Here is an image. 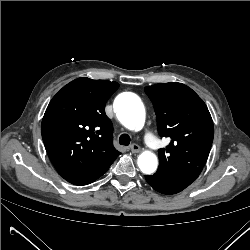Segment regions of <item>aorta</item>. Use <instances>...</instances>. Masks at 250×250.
<instances>
[{
  "instance_id": "aorta-1",
  "label": "aorta",
  "mask_w": 250,
  "mask_h": 250,
  "mask_svg": "<svg viewBox=\"0 0 250 250\" xmlns=\"http://www.w3.org/2000/svg\"><path fill=\"white\" fill-rule=\"evenodd\" d=\"M114 109L121 114L120 121L130 129L141 128L145 122V108L140 98L133 93L120 94L115 102ZM138 166L145 174L153 173L158 166V160L151 151H144L138 157Z\"/></svg>"
}]
</instances>
